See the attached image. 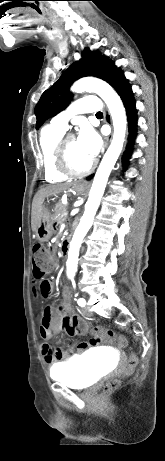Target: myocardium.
<instances>
[{"mask_svg": "<svg viewBox=\"0 0 165 461\" xmlns=\"http://www.w3.org/2000/svg\"><path fill=\"white\" fill-rule=\"evenodd\" d=\"M75 138L73 134L68 133V134H63V136L58 140L55 150H54V163L56 168L63 174L67 176H85L89 174L96 165L95 160H91L89 165L84 168L83 170H76L71 166V164L68 161V156H67V144L70 139Z\"/></svg>", "mask_w": 165, "mask_h": 461, "instance_id": "obj_1", "label": "myocardium"}]
</instances>
